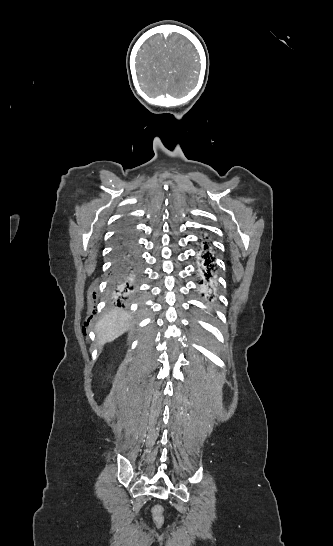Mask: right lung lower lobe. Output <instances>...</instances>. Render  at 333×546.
I'll list each match as a JSON object with an SVG mask.
<instances>
[{
	"mask_svg": "<svg viewBox=\"0 0 333 546\" xmlns=\"http://www.w3.org/2000/svg\"><path fill=\"white\" fill-rule=\"evenodd\" d=\"M114 266L111 284L116 295L125 297L134 290L137 280L139 252L134 237L120 233L115 237L113 248Z\"/></svg>",
	"mask_w": 333,
	"mask_h": 546,
	"instance_id": "1",
	"label": "right lung lower lobe"
}]
</instances>
